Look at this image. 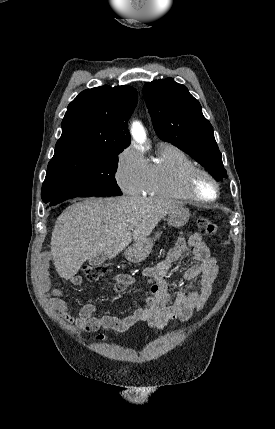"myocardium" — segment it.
<instances>
[{
	"label": "myocardium",
	"instance_id": "1",
	"mask_svg": "<svg viewBox=\"0 0 275 429\" xmlns=\"http://www.w3.org/2000/svg\"><path fill=\"white\" fill-rule=\"evenodd\" d=\"M200 178L208 179L215 188V195L213 198L202 197L197 190V183ZM184 189L190 200L198 203H212L215 202L220 195V184L218 180L207 170L195 167L191 169L184 178Z\"/></svg>",
	"mask_w": 275,
	"mask_h": 429
}]
</instances>
